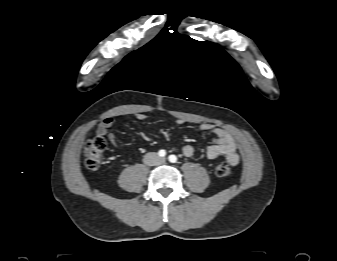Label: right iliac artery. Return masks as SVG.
I'll use <instances>...</instances> for the list:
<instances>
[{
  "label": "right iliac artery",
  "instance_id": "right-iliac-artery-1",
  "mask_svg": "<svg viewBox=\"0 0 337 261\" xmlns=\"http://www.w3.org/2000/svg\"><path fill=\"white\" fill-rule=\"evenodd\" d=\"M158 154H159V156L164 157L166 155V151L165 150H160L158 152Z\"/></svg>",
  "mask_w": 337,
  "mask_h": 261
}]
</instances>
